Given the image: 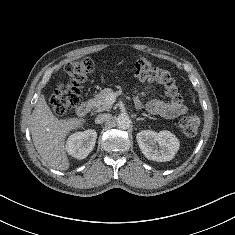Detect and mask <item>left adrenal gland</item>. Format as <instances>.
Wrapping results in <instances>:
<instances>
[{"label":"left adrenal gland","instance_id":"obj_1","mask_svg":"<svg viewBox=\"0 0 235 235\" xmlns=\"http://www.w3.org/2000/svg\"><path fill=\"white\" fill-rule=\"evenodd\" d=\"M139 120H144V118H136V121H139Z\"/></svg>","mask_w":235,"mask_h":235}]
</instances>
